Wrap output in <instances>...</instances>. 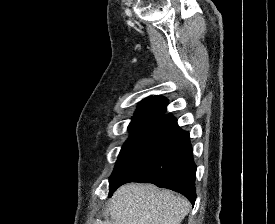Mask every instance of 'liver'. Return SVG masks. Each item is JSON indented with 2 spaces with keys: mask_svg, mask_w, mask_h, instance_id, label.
Segmentation results:
<instances>
[{
  "mask_svg": "<svg viewBox=\"0 0 275 224\" xmlns=\"http://www.w3.org/2000/svg\"><path fill=\"white\" fill-rule=\"evenodd\" d=\"M109 210L114 224H180L189 202L152 184L128 183L114 193Z\"/></svg>",
  "mask_w": 275,
  "mask_h": 224,
  "instance_id": "6515ba94",
  "label": "liver"
}]
</instances>
